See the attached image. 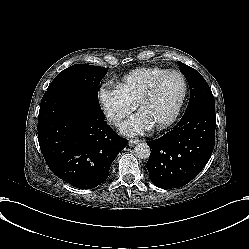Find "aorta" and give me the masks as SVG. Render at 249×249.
I'll return each instance as SVG.
<instances>
[{
    "label": "aorta",
    "instance_id": "762f6f07",
    "mask_svg": "<svg viewBox=\"0 0 249 249\" xmlns=\"http://www.w3.org/2000/svg\"><path fill=\"white\" fill-rule=\"evenodd\" d=\"M150 153V147L146 143H138L134 147V155L139 159L149 158Z\"/></svg>",
    "mask_w": 249,
    "mask_h": 249
}]
</instances>
